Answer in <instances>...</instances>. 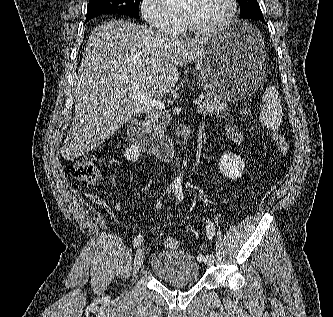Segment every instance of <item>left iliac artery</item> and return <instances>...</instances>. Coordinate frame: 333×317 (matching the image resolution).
Segmentation results:
<instances>
[{"instance_id":"obj_1","label":"left iliac artery","mask_w":333,"mask_h":317,"mask_svg":"<svg viewBox=\"0 0 333 317\" xmlns=\"http://www.w3.org/2000/svg\"><path fill=\"white\" fill-rule=\"evenodd\" d=\"M175 196L177 197V199L182 200L183 199V193H182V187L181 185L176 186V190H175ZM215 234V228L214 225L211 221H207V237L209 239H212V237ZM198 260L199 261H205V257L200 254L198 255Z\"/></svg>"}]
</instances>
